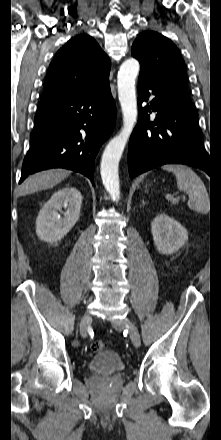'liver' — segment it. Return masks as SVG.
<instances>
[{"label": "liver", "instance_id": "6515ba94", "mask_svg": "<svg viewBox=\"0 0 221 440\" xmlns=\"http://www.w3.org/2000/svg\"><path fill=\"white\" fill-rule=\"evenodd\" d=\"M65 169L42 171L28 177L20 186V194H31L40 190L52 188L70 175Z\"/></svg>", "mask_w": 221, "mask_h": 440}]
</instances>
